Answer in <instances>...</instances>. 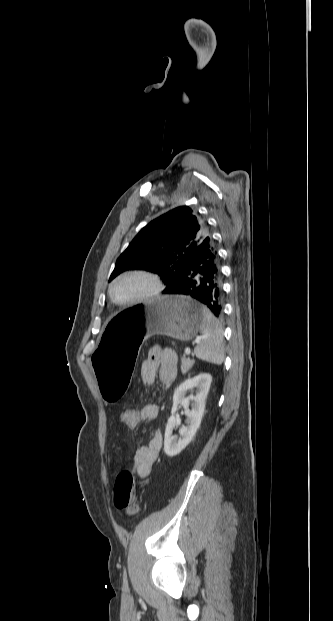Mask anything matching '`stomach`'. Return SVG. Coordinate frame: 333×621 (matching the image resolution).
Here are the masks:
<instances>
[{
	"mask_svg": "<svg viewBox=\"0 0 333 621\" xmlns=\"http://www.w3.org/2000/svg\"><path fill=\"white\" fill-rule=\"evenodd\" d=\"M204 310L188 297L169 295L111 316L93 356L95 380L107 405L123 401L130 390L143 338L160 334L188 341L200 331Z\"/></svg>",
	"mask_w": 333,
	"mask_h": 621,
	"instance_id": "stomach-1",
	"label": "stomach"
}]
</instances>
